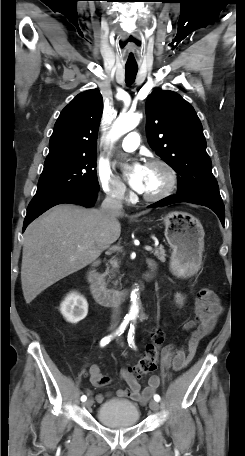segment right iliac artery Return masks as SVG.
Returning <instances> with one entry per match:
<instances>
[{"mask_svg":"<svg viewBox=\"0 0 245 456\" xmlns=\"http://www.w3.org/2000/svg\"><path fill=\"white\" fill-rule=\"evenodd\" d=\"M128 323H129V319H125L121 323V325L119 326L118 330L113 335L106 336L100 341V346L101 347L106 346L115 336H120L121 334H123V332L125 331ZM86 400H87L86 395H82L81 396V401L85 402Z\"/></svg>","mask_w":245,"mask_h":456,"instance_id":"obj_1","label":"right iliac artery"}]
</instances>
